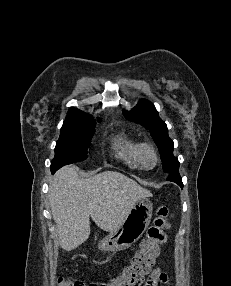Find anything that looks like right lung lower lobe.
Here are the masks:
<instances>
[{
    "mask_svg": "<svg viewBox=\"0 0 231 286\" xmlns=\"http://www.w3.org/2000/svg\"><path fill=\"white\" fill-rule=\"evenodd\" d=\"M56 170L54 168H51V172L52 174L55 172Z\"/></svg>",
    "mask_w": 231,
    "mask_h": 286,
    "instance_id": "1",
    "label": "right lung lower lobe"
}]
</instances>
